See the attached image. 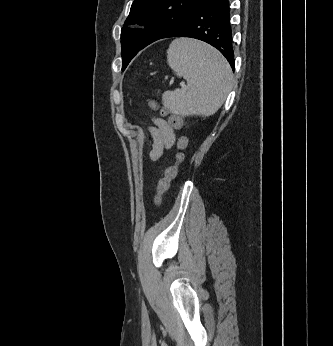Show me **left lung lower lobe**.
Listing matches in <instances>:
<instances>
[{"instance_id":"left-lung-lower-lobe-1","label":"left lung lower lobe","mask_w":333,"mask_h":346,"mask_svg":"<svg viewBox=\"0 0 333 346\" xmlns=\"http://www.w3.org/2000/svg\"><path fill=\"white\" fill-rule=\"evenodd\" d=\"M191 37L217 48L234 70L229 0H204L160 39Z\"/></svg>"}]
</instances>
